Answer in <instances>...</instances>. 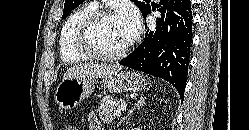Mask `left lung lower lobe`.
I'll use <instances>...</instances> for the list:
<instances>
[{
    "mask_svg": "<svg viewBox=\"0 0 249 130\" xmlns=\"http://www.w3.org/2000/svg\"><path fill=\"white\" fill-rule=\"evenodd\" d=\"M165 2L160 3L166 7ZM167 8L156 29H148L143 43L119 63L168 81L183 100L192 42V6L189 0H171ZM159 11L164 16L165 10Z\"/></svg>",
    "mask_w": 249,
    "mask_h": 130,
    "instance_id": "left-lung-lower-lobe-1",
    "label": "left lung lower lobe"
}]
</instances>
